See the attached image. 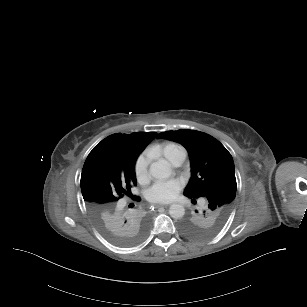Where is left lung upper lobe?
<instances>
[{"label":"left lung upper lobe","instance_id":"5c2ea615","mask_svg":"<svg viewBox=\"0 0 307 307\" xmlns=\"http://www.w3.org/2000/svg\"><path fill=\"white\" fill-rule=\"evenodd\" d=\"M182 144L191 161V178L184 195L207 199L208 203L193 212L181 224V231L192 239H206L225 224L236 194L234 162L231 154L214 137L194 130L167 131L158 134Z\"/></svg>","mask_w":307,"mask_h":307}]
</instances>
